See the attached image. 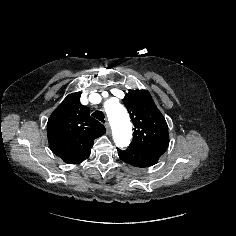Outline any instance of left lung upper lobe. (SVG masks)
Listing matches in <instances>:
<instances>
[{
  "label": "left lung upper lobe",
  "mask_w": 236,
  "mask_h": 236,
  "mask_svg": "<svg viewBox=\"0 0 236 236\" xmlns=\"http://www.w3.org/2000/svg\"><path fill=\"white\" fill-rule=\"evenodd\" d=\"M134 125L129 147L167 149L168 127L165 118L146 90H131L123 100Z\"/></svg>",
  "instance_id": "obj_1"
}]
</instances>
